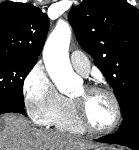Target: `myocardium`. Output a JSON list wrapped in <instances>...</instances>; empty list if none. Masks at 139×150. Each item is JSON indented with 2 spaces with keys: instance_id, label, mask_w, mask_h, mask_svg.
Masks as SVG:
<instances>
[{
  "instance_id": "obj_1",
  "label": "myocardium",
  "mask_w": 139,
  "mask_h": 150,
  "mask_svg": "<svg viewBox=\"0 0 139 150\" xmlns=\"http://www.w3.org/2000/svg\"><path fill=\"white\" fill-rule=\"evenodd\" d=\"M85 89L87 92H102L107 94L110 99L112 100V103L114 105V110H115V118L113 123L105 129H97L93 127L90 122L87 119L86 116V111H85V105L84 102L80 99L72 98V102L74 105V112H75V117L78 122V124L87 132H90L92 134H98V135H106L110 134L113 131H115L118 126L120 125L121 119H122V108L121 104L119 101V98L117 95L112 91L111 89L98 85V84H86L84 85Z\"/></svg>"
}]
</instances>
